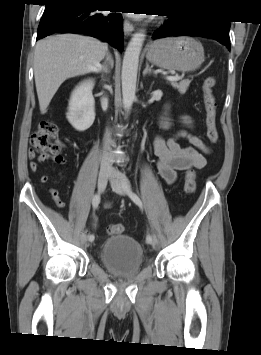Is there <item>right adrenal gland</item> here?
Listing matches in <instances>:
<instances>
[{
  "mask_svg": "<svg viewBox=\"0 0 261 355\" xmlns=\"http://www.w3.org/2000/svg\"><path fill=\"white\" fill-rule=\"evenodd\" d=\"M107 60L110 62L111 69H112L113 66H114V61H113V59H112V57H111V54H110L109 52H107ZM104 72H105V73H108L107 69L104 70Z\"/></svg>",
  "mask_w": 261,
  "mask_h": 355,
  "instance_id": "right-adrenal-gland-1",
  "label": "right adrenal gland"
}]
</instances>
